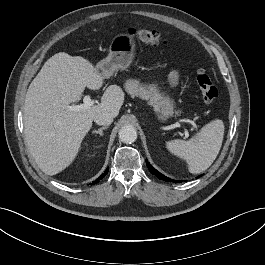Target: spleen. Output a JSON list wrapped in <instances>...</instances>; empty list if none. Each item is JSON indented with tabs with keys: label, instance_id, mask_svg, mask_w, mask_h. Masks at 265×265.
I'll list each match as a JSON object with an SVG mask.
<instances>
[{
	"label": "spleen",
	"instance_id": "obj_1",
	"mask_svg": "<svg viewBox=\"0 0 265 265\" xmlns=\"http://www.w3.org/2000/svg\"><path fill=\"white\" fill-rule=\"evenodd\" d=\"M224 124L216 119L206 124L199 133L188 141L176 139L166 143L167 149L184 159L190 173L205 171L216 159L222 146Z\"/></svg>",
	"mask_w": 265,
	"mask_h": 265
}]
</instances>
